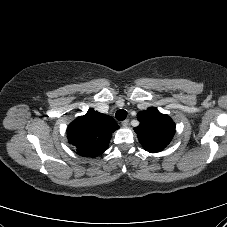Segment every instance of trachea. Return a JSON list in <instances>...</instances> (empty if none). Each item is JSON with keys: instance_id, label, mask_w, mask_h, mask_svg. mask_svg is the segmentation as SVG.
Wrapping results in <instances>:
<instances>
[{"instance_id": "3493384b", "label": "trachea", "mask_w": 227, "mask_h": 227, "mask_svg": "<svg viewBox=\"0 0 227 227\" xmlns=\"http://www.w3.org/2000/svg\"><path fill=\"white\" fill-rule=\"evenodd\" d=\"M115 117L119 121H123L127 117V112L124 109H120L116 112Z\"/></svg>"}]
</instances>
